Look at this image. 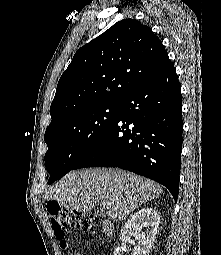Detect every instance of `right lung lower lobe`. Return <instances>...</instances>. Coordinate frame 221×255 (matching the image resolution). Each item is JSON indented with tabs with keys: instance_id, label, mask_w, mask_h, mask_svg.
Masks as SVG:
<instances>
[{
	"instance_id": "98d812e1",
	"label": "right lung lower lobe",
	"mask_w": 221,
	"mask_h": 255,
	"mask_svg": "<svg viewBox=\"0 0 221 255\" xmlns=\"http://www.w3.org/2000/svg\"><path fill=\"white\" fill-rule=\"evenodd\" d=\"M100 140L74 167H119L179 193L182 100L176 70L168 59L120 103Z\"/></svg>"
}]
</instances>
